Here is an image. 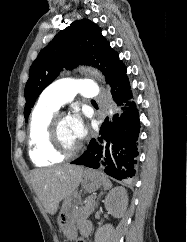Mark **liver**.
Masks as SVG:
<instances>
[{"label": "liver", "mask_w": 187, "mask_h": 242, "mask_svg": "<svg viewBox=\"0 0 187 242\" xmlns=\"http://www.w3.org/2000/svg\"><path fill=\"white\" fill-rule=\"evenodd\" d=\"M82 172L83 167L77 165H63L32 172L31 181L35 193L49 214L54 215L59 203L78 188Z\"/></svg>", "instance_id": "obj_1"}]
</instances>
